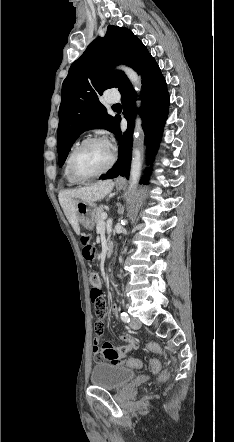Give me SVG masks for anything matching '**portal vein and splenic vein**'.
Listing matches in <instances>:
<instances>
[{
    "mask_svg": "<svg viewBox=\"0 0 234 442\" xmlns=\"http://www.w3.org/2000/svg\"><path fill=\"white\" fill-rule=\"evenodd\" d=\"M106 219H107V213L104 212V213L102 214V216H101V221H100V222H101V223H104V221H105Z\"/></svg>",
    "mask_w": 234,
    "mask_h": 442,
    "instance_id": "obj_1",
    "label": "portal vein and splenic vein"
}]
</instances>
